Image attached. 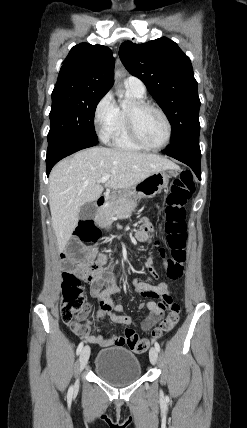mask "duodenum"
I'll return each instance as SVG.
<instances>
[{
    "mask_svg": "<svg viewBox=\"0 0 247 428\" xmlns=\"http://www.w3.org/2000/svg\"><path fill=\"white\" fill-rule=\"evenodd\" d=\"M108 198L106 196H101L97 199L96 204L98 207H103L107 204Z\"/></svg>",
    "mask_w": 247,
    "mask_h": 428,
    "instance_id": "duodenum-1",
    "label": "duodenum"
}]
</instances>
